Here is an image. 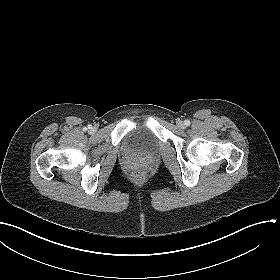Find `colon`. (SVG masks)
<instances>
[{"label":"colon","instance_id":"colon-1","mask_svg":"<svg viewBox=\"0 0 280 280\" xmlns=\"http://www.w3.org/2000/svg\"><path fill=\"white\" fill-rule=\"evenodd\" d=\"M132 177L136 182H142L144 179V174L140 168H135L132 171Z\"/></svg>","mask_w":280,"mask_h":280}]
</instances>
